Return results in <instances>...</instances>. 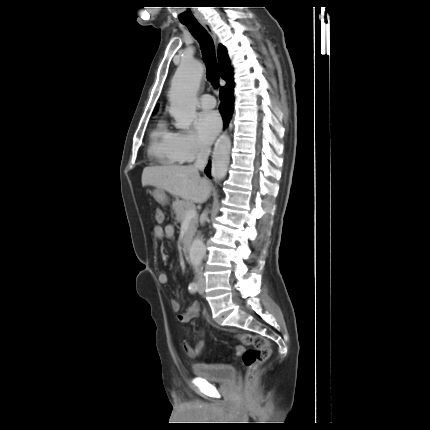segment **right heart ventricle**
<instances>
[{
  "label": "right heart ventricle",
  "instance_id": "right-heart-ventricle-1",
  "mask_svg": "<svg viewBox=\"0 0 430 430\" xmlns=\"http://www.w3.org/2000/svg\"><path fill=\"white\" fill-rule=\"evenodd\" d=\"M174 141L175 133L168 128L164 120H160L150 133L149 155L163 165L182 163Z\"/></svg>",
  "mask_w": 430,
  "mask_h": 430
}]
</instances>
